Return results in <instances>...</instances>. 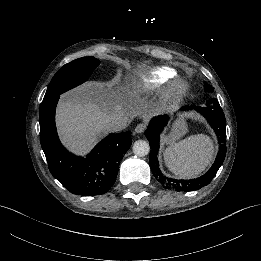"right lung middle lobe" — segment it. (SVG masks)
<instances>
[{"mask_svg": "<svg viewBox=\"0 0 261 261\" xmlns=\"http://www.w3.org/2000/svg\"><path fill=\"white\" fill-rule=\"evenodd\" d=\"M100 61L82 57L64 65L52 78L43 100L60 95L85 82Z\"/></svg>", "mask_w": 261, "mask_h": 261, "instance_id": "obj_1", "label": "right lung middle lobe"}]
</instances>
